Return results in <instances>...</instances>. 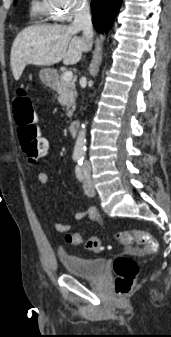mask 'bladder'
<instances>
[{
    "instance_id": "31cf9c89",
    "label": "bladder",
    "mask_w": 171,
    "mask_h": 337,
    "mask_svg": "<svg viewBox=\"0 0 171 337\" xmlns=\"http://www.w3.org/2000/svg\"><path fill=\"white\" fill-rule=\"evenodd\" d=\"M61 262L67 274L88 279L102 276L106 265L103 258H86L68 253L61 254Z\"/></svg>"
}]
</instances>
